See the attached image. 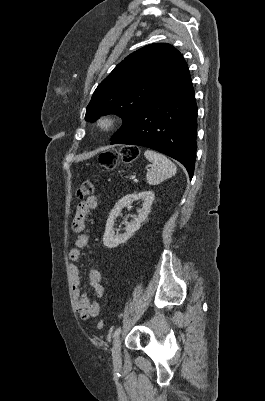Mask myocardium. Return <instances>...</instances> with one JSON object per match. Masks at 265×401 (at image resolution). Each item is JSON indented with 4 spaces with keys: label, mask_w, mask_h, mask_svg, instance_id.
I'll list each match as a JSON object with an SVG mask.
<instances>
[{
    "label": "myocardium",
    "mask_w": 265,
    "mask_h": 401,
    "mask_svg": "<svg viewBox=\"0 0 265 401\" xmlns=\"http://www.w3.org/2000/svg\"><path fill=\"white\" fill-rule=\"evenodd\" d=\"M117 126V118L112 114H105L96 121V129L101 134L111 133Z\"/></svg>",
    "instance_id": "myocardium-1"
}]
</instances>
